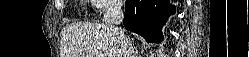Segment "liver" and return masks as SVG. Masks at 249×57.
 I'll list each match as a JSON object with an SVG mask.
<instances>
[{"label": "liver", "mask_w": 249, "mask_h": 57, "mask_svg": "<svg viewBox=\"0 0 249 57\" xmlns=\"http://www.w3.org/2000/svg\"><path fill=\"white\" fill-rule=\"evenodd\" d=\"M62 57H122L116 35L104 24L78 22L61 32Z\"/></svg>", "instance_id": "6515ba94"}]
</instances>
